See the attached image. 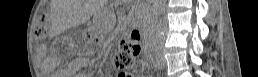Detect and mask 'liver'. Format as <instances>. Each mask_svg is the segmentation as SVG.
I'll return each mask as SVG.
<instances>
[{
  "mask_svg": "<svg viewBox=\"0 0 258 77\" xmlns=\"http://www.w3.org/2000/svg\"><path fill=\"white\" fill-rule=\"evenodd\" d=\"M55 3L59 2V7H54L52 12L59 15L60 19L69 24L70 26L75 25L76 23V1L75 0H62L54 1Z\"/></svg>",
  "mask_w": 258,
  "mask_h": 77,
  "instance_id": "1",
  "label": "liver"
}]
</instances>
